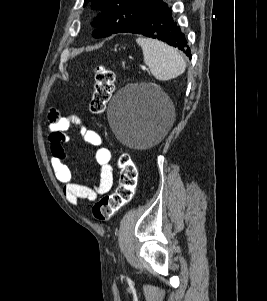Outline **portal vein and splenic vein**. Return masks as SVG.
Instances as JSON below:
<instances>
[{
	"mask_svg": "<svg viewBox=\"0 0 267 301\" xmlns=\"http://www.w3.org/2000/svg\"><path fill=\"white\" fill-rule=\"evenodd\" d=\"M141 68H142V70H146V67H145V66H143V65L141 66Z\"/></svg>",
	"mask_w": 267,
	"mask_h": 301,
	"instance_id": "portal-vein-and-splenic-vein-1",
	"label": "portal vein and splenic vein"
}]
</instances>
